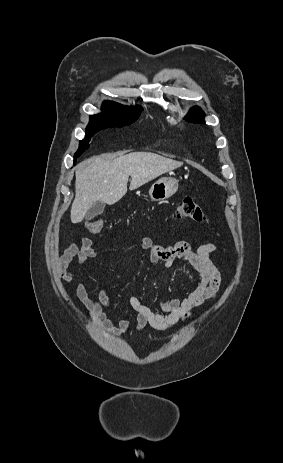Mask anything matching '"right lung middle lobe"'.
<instances>
[{
    "mask_svg": "<svg viewBox=\"0 0 283 463\" xmlns=\"http://www.w3.org/2000/svg\"><path fill=\"white\" fill-rule=\"evenodd\" d=\"M143 109L141 107H126L122 105H103V113L90 116L89 125L86 128V138L80 141L79 149L74 158L79 157L89 148L90 138L99 130L108 127H123L130 125L138 119Z\"/></svg>",
    "mask_w": 283,
    "mask_h": 463,
    "instance_id": "dd1d6c3e",
    "label": "right lung middle lobe"
}]
</instances>
